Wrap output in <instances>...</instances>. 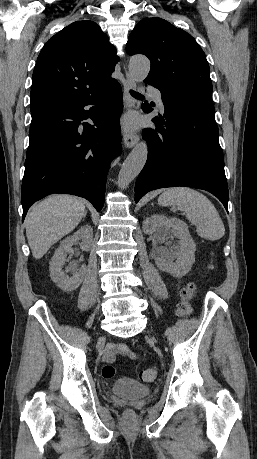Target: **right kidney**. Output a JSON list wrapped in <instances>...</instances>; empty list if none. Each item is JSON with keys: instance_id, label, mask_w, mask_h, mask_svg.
I'll list each match as a JSON object with an SVG mask.
<instances>
[{"instance_id": "ca27d5eb", "label": "right kidney", "mask_w": 257, "mask_h": 459, "mask_svg": "<svg viewBox=\"0 0 257 459\" xmlns=\"http://www.w3.org/2000/svg\"><path fill=\"white\" fill-rule=\"evenodd\" d=\"M93 239L92 228L88 225L82 226L72 236L67 237L60 243L59 248L55 251L54 256L50 261V277L52 281L63 291L71 292L79 287L82 283L85 270L84 267L77 269L75 265H70L63 270L64 265L67 262V254L71 251L72 246L79 240H82L80 245L84 251H89ZM71 272L72 276L67 275Z\"/></svg>"}]
</instances>
